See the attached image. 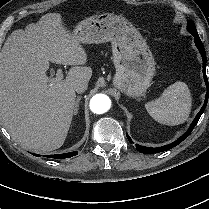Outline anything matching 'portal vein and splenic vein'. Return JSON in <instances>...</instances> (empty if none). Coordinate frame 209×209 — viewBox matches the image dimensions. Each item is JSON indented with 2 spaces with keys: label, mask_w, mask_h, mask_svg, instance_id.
I'll return each mask as SVG.
<instances>
[{
  "label": "portal vein and splenic vein",
  "mask_w": 209,
  "mask_h": 209,
  "mask_svg": "<svg viewBox=\"0 0 209 209\" xmlns=\"http://www.w3.org/2000/svg\"><path fill=\"white\" fill-rule=\"evenodd\" d=\"M63 80V73L61 69L57 70L56 77L50 80V86L54 85L55 83L61 82Z\"/></svg>",
  "instance_id": "1"
}]
</instances>
